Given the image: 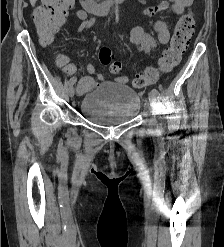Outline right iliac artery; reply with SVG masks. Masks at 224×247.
<instances>
[{
	"mask_svg": "<svg viewBox=\"0 0 224 247\" xmlns=\"http://www.w3.org/2000/svg\"><path fill=\"white\" fill-rule=\"evenodd\" d=\"M76 82V78L73 77L69 80V85H73Z\"/></svg>",
	"mask_w": 224,
	"mask_h": 247,
	"instance_id": "1",
	"label": "right iliac artery"
}]
</instances>
